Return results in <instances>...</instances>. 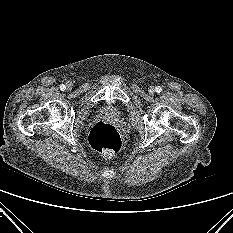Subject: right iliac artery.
Listing matches in <instances>:
<instances>
[{
	"label": "right iliac artery",
	"mask_w": 233,
	"mask_h": 233,
	"mask_svg": "<svg viewBox=\"0 0 233 233\" xmlns=\"http://www.w3.org/2000/svg\"><path fill=\"white\" fill-rule=\"evenodd\" d=\"M60 89H61L62 91H64V90H66V86H65L64 84H62V85H60Z\"/></svg>",
	"instance_id": "1"
}]
</instances>
